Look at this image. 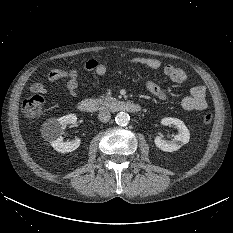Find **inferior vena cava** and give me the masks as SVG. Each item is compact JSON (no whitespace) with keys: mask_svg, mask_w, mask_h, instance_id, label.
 Returning <instances> with one entry per match:
<instances>
[{"mask_svg":"<svg viewBox=\"0 0 233 233\" xmlns=\"http://www.w3.org/2000/svg\"><path fill=\"white\" fill-rule=\"evenodd\" d=\"M111 118V114L108 110L106 109H101L98 114V119L101 122H108Z\"/></svg>","mask_w":233,"mask_h":233,"instance_id":"obj_1","label":"inferior vena cava"}]
</instances>
